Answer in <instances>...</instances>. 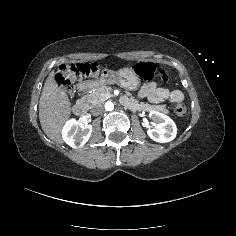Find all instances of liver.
I'll use <instances>...</instances> for the list:
<instances>
[{
    "mask_svg": "<svg viewBox=\"0 0 236 236\" xmlns=\"http://www.w3.org/2000/svg\"><path fill=\"white\" fill-rule=\"evenodd\" d=\"M50 72L39 101V119L44 133L56 143L63 144L62 129L71 114V103L64 89L54 80Z\"/></svg>",
    "mask_w": 236,
    "mask_h": 236,
    "instance_id": "6515ba94",
    "label": "liver"
}]
</instances>
